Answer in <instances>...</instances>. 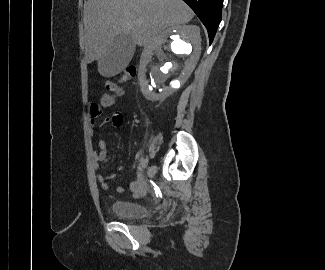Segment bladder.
Wrapping results in <instances>:
<instances>
[{
    "instance_id": "31cf9c89",
    "label": "bladder",
    "mask_w": 325,
    "mask_h": 270,
    "mask_svg": "<svg viewBox=\"0 0 325 270\" xmlns=\"http://www.w3.org/2000/svg\"><path fill=\"white\" fill-rule=\"evenodd\" d=\"M110 209L115 216L121 219H139L146 216V207L134 201L114 200Z\"/></svg>"
}]
</instances>
